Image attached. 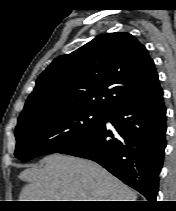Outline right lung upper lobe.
<instances>
[{
    "label": "right lung upper lobe",
    "mask_w": 176,
    "mask_h": 211,
    "mask_svg": "<svg viewBox=\"0 0 176 211\" xmlns=\"http://www.w3.org/2000/svg\"><path fill=\"white\" fill-rule=\"evenodd\" d=\"M159 86L146 48L129 33H107L55 59L38 77L19 118L74 107L107 113Z\"/></svg>",
    "instance_id": "1"
}]
</instances>
